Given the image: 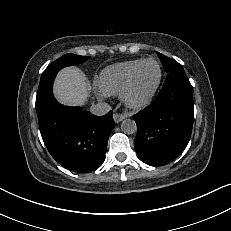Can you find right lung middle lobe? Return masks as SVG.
<instances>
[{
	"label": "right lung middle lobe",
	"mask_w": 231,
	"mask_h": 231,
	"mask_svg": "<svg viewBox=\"0 0 231 231\" xmlns=\"http://www.w3.org/2000/svg\"><path fill=\"white\" fill-rule=\"evenodd\" d=\"M88 59V56H78L75 54H65L59 59L54 61L42 74L41 79L49 76L52 73H57L60 69L66 66H72L75 64H80L85 62Z\"/></svg>",
	"instance_id": "dd1d6c3e"
}]
</instances>
